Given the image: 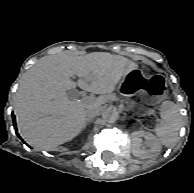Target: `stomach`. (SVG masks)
<instances>
[{
    "label": "stomach",
    "instance_id": "0dacf381",
    "mask_svg": "<svg viewBox=\"0 0 194 193\" xmlns=\"http://www.w3.org/2000/svg\"><path fill=\"white\" fill-rule=\"evenodd\" d=\"M128 95H141L148 104H158L167 97V82L162 75L145 76L138 69L130 71L120 82Z\"/></svg>",
    "mask_w": 194,
    "mask_h": 193
}]
</instances>
